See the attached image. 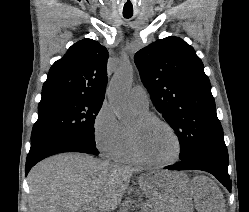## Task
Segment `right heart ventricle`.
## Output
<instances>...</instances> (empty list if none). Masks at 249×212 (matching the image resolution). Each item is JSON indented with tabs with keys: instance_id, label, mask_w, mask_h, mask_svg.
Instances as JSON below:
<instances>
[{
	"instance_id": "1",
	"label": "right heart ventricle",
	"mask_w": 249,
	"mask_h": 212,
	"mask_svg": "<svg viewBox=\"0 0 249 212\" xmlns=\"http://www.w3.org/2000/svg\"><path fill=\"white\" fill-rule=\"evenodd\" d=\"M137 110V109H136ZM137 112L140 114V115H148V112H144V111H139L137 110ZM122 130L123 132L125 133V136H126V141H125V144L120 152V156H119V160L122 161V162H125V163H135V159L131 153V150H130V147H129V143H128V136H127V133H126V129L124 127H122Z\"/></svg>"
}]
</instances>
